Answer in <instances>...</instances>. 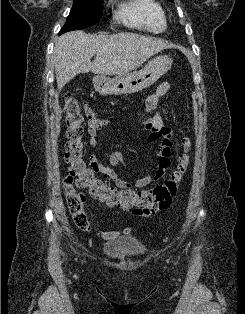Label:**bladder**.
<instances>
[{
    "label": "bladder",
    "mask_w": 245,
    "mask_h": 314,
    "mask_svg": "<svg viewBox=\"0 0 245 314\" xmlns=\"http://www.w3.org/2000/svg\"><path fill=\"white\" fill-rule=\"evenodd\" d=\"M147 251L145 244L136 237L110 242L103 248L106 258L114 261L123 260L127 257L141 256Z\"/></svg>",
    "instance_id": "1"
}]
</instances>
